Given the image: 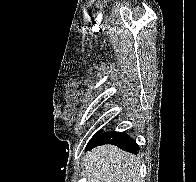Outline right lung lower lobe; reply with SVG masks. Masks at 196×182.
Instances as JSON below:
<instances>
[{"mask_svg":"<svg viewBox=\"0 0 196 182\" xmlns=\"http://www.w3.org/2000/svg\"><path fill=\"white\" fill-rule=\"evenodd\" d=\"M104 144H114L119 148L134 154H137L139 151V146L134 139L125 132L114 131L101 134L87 149Z\"/></svg>","mask_w":196,"mask_h":182,"instance_id":"1","label":"right lung lower lobe"}]
</instances>
